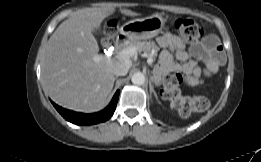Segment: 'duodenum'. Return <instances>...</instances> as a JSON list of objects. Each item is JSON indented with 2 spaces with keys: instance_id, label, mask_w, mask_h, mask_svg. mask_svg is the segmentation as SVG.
I'll return each mask as SVG.
<instances>
[{
  "instance_id": "410a0bca",
  "label": "duodenum",
  "mask_w": 261,
  "mask_h": 162,
  "mask_svg": "<svg viewBox=\"0 0 261 162\" xmlns=\"http://www.w3.org/2000/svg\"><path fill=\"white\" fill-rule=\"evenodd\" d=\"M128 42V36L125 34H120L116 39L117 46H124Z\"/></svg>"
}]
</instances>
